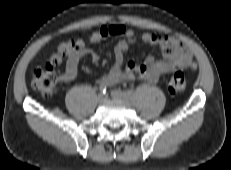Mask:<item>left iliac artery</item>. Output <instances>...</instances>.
<instances>
[{"label": "left iliac artery", "mask_w": 231, "mask_h": 170, "mask_svg": "<svg viewBox=\"0 0 231 170\" xmlns=\"http://www.w3.org/2000/svg\"><path fill=\"white\" fill-rule=\"evenodd\" d=\"M124 94L126 95L127 98H131L133 96V91L127 90L124 92Z\"/></svg>", "instance_id": "left-iliac-artery-1"}]
</instances>
